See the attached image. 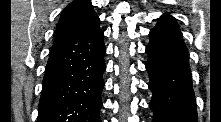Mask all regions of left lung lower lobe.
I'll return each instance as SVG.
<instances>
[{
	"mask_svg": "<svg viewBox=\"0 0 221 122\" xmlns=\"http://www.w3.org/2000/svg\"><path fill=\"white\" fill-rule=\"evenodd\" d=\"M146 47L153 122H197L189 54L175 19L163 15Z\"/></svg>",
	"mask_w": 221,
	"mask_h": 122,
	"instance_id": "0a47b994",
	"label": "left lung lower lobe"
}]
</instances>
